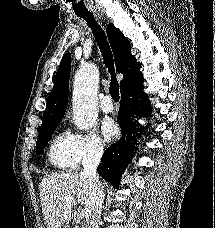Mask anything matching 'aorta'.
Segmentation results:
<instances>
[{
  "mask_svg": "<svg viewBox=\"0 0 215 228\" xmlns=\"http://www.w3.org/2000/svg\"><path fill=\"white\" fill-rule=\"evenodd\" d=\"M98 68L88 64L75 76L73 118L79 130H90L98 118Z\"/></svg>",
  "mask_w": 215,
  "mask_h": 228,
  "instance_id": "aorta-1",
  "label": "aorta"
}]
</instances>
